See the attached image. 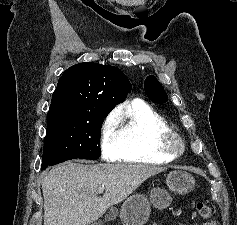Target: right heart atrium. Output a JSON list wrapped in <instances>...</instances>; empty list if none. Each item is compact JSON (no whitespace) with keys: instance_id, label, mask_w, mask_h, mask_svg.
<instances>
[{"instance_id":"right-heart-atrium-1","label":"right heart atrium","mask_w":237,"mask_h":225,"mask_svg":"<svg viewBox=\"0 0 237 225\" xmlns=\"http://www.w3.org/2000/svg\"><path fill=\"white\" fill-rule=\"evenodd\" d=\"M99 144L102 157L114 161L119 151L118 119L114 114L104 118L99 133Z\"/></svg>"}]
</instances>
